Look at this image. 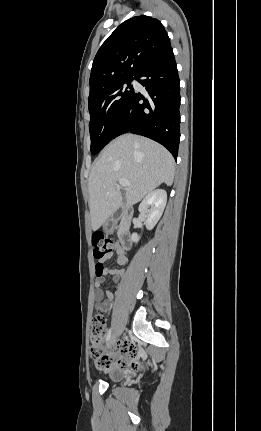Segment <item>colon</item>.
Wrapping results in <instances>:
<instances>
[{"instance_id":"obj_1","label":"colon","mask_w":261,"mask_h":431,"mask_svg":"<svg viewBox=\"0 0 261 431\" xmlns=\"http://www.w3.org/2000/svg\"><path fill=\"white\" fill-rule=\"evenodd\" d=\"M92 244L94 248V256L97 260L101 261L107 258L112 252L113 242L105 237L103 234H95L92 237ZM104 266L98 262L95 267L96 275L99 276L103 273ZM106 322L102 315H96L91 323V348L90 354L93 360L102 368L107 369L111 367L113 362L120 366H129L135 370L138 365L132 361L134 357V349L128 343H122L114 354L115 357H108L103 351V338L105 335Z\"/></svg>"}]
</instances>
